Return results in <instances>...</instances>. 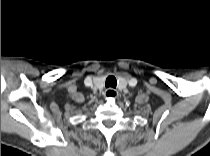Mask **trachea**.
Returning a JSON list of instances; mask_svg holds the SVG:
<instances>
[{"label":"trachea","mask_w":210,"mask_h":156,"mask_svg":"<svg viewBox=\"0 0 210 156\" xmlns=\"http://www.w3.org/2000/svg\"><path fill=\"white\" fill-rule=\"evenodd\" d=\"M117 80L114 76H108L105 82L106 88H116Z\"/></svg>","instance_id":"1"}]
</instances>
